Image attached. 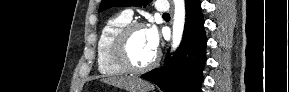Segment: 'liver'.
Returning a JSON list of instances; mask_svg holds the SVG:
<instances>
[{"instance_id":"1","label":"liver","mask_w":289,"mask_h":92,"mask_svg":"<svg viewBox=\"0 0 289 92\" xmlns=\"http://www.w3.org/2000/svg\"><path fill=\"white\" fill-rule=\"evenodd\" d=\"M102 82L125 89L128 92H144L153 89L149 83L134 77H110Z\"/></svg>"}]
</instances>
